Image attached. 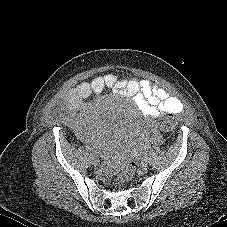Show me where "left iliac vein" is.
<instances>
[{
    "label": "left iliac vein",
    "instance_id": "left-iliac-vein-1",
    "mask_svg": "<svg viewBox=\"0 0 227 227\" xmlns=\"http://www.w3.org/2000/svg\"><path fill=\"white\" fill-rule=\"evenodd\" d=\"M140 162L142 166H146L150 162L149 156L147 155L143 156Z\"/></svg>",
    "mask_w": 227,
    "mask_h": 227
}]
</instances>
